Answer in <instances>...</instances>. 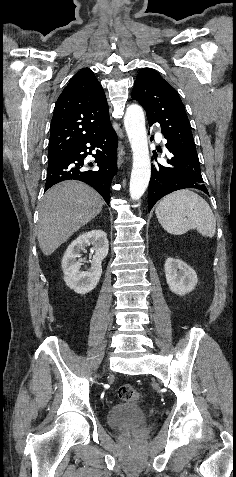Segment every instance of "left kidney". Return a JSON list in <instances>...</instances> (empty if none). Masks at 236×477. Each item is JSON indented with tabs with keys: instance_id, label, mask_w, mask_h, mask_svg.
Wrapping results in <instances>:
<instances>
[{
	"instance_id": "left-kidney-1",
	"label": "left kidney",
	"mask_w": 236,
	"mask_h": 477,
	"mask_svg": "<svg viewBox=\"0 0 236 477\" xmlns=\"http://www.w3.org/2000/svg\"><path fill=\"white\" fill-rule=\"evenodd\" d=\"M164 268L167 284L175 294H187L198 283L196 272L182 260L167 258Z\"/></svg>"
}]
</instances>
